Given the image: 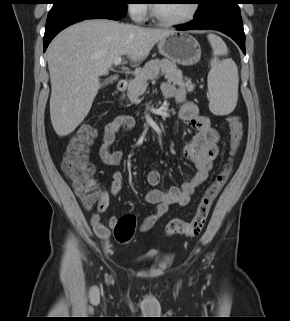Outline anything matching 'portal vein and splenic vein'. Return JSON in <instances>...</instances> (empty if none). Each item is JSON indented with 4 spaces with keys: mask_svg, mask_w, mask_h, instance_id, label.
Segmentation results:
<instances>
[{
    "mask_svg": "<svg viewBox=\"0 0 290 321\" xmlns=\"http://www.w3.org/2000/svg\"><path fill=\"white\" fill-rule=\"evenodd\" d=\"M121 61H122V58L121 57H117V58L114 59L113 63H114L115 66H118V65L121 64Z\"/></svg>",
    "mask_w": 290,
    "mask_h": 321,
    "instance_id": "portal-vein-and-splenic-vein-1",
    "label": "portal vein and splenic vein"
}]
</instances>
